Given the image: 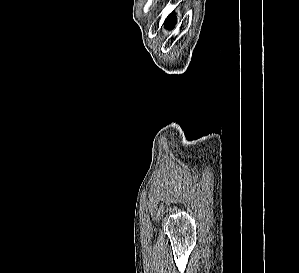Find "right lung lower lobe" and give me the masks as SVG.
Masks as SVG:
<instances>
[{
    "mask_svg": "<svg viewBox=\"0 0 299 273\" xmlns=\"http://www.w3.org/2000/svg\"><path fill=\"white\" fill-rule=\"evenodd\" d=\"M176 22V16L174 14H170L165 21V27L171 29Z\"/></svg>",
    "mask_w": 299,
    "mask_h": 273,
    "instance_id": "98d812e1",
    "label": "right lung lower lobe"
}]
</instances>
